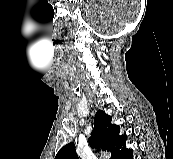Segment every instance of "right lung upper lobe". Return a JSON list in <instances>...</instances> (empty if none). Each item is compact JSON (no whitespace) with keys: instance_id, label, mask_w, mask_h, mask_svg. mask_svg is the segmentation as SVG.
<instances>
[{"instance_id":"1","label":"right lung upper lobe","mask_w":173,"mask_h":159,"mask_svg":"<svg viewBox=\"0 0 173 159\" xmlns=\"http://www.w3.org/2000/svg\"><path fill=\"white\" fill-rule=\"evenodd\" d=\"M112 117L98 110L94 118V130L89 138L92 147L111 152L110 159H123L131 149H126V135L119 136L120 127L111 124ZM55 159H77L75 145L69 143L59 150Z\"/></svg>"}]
</instances>
